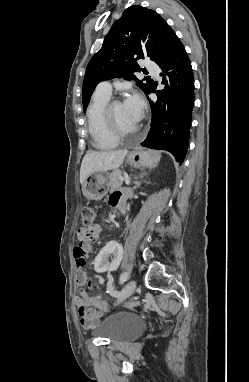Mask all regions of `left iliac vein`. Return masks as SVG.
<instances>
[{
	"instance_id": "1",
	"label": "left iliac vein",
	"mask_w": 249,
	"mask_h": 382,
	"mask_svg": "<svg viewBox=\"0 0 249 382\" xmlns=\"http://www.w3.org/2000/svg\"><path fill=\"white\" fill-rule=\"evenodd\" d=\"M136 289V282L135 280L129 281L125 287L122 289V291L119 294L118 303L124 302L127 298H129Z\"/></svg>"
}]
</instances>
